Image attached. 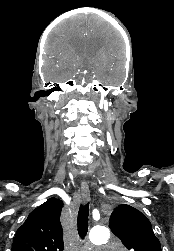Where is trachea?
<instances>
[{"label":"trachea","instance_id":"3493384b","mask_svg":"<svg viewBox=\"0 0 174 251\" xmlns=\"http://www.w3.org/2000/svg\"><path fill=\"white\" fill-rule=\"evenodd\" d=\"M88 216H89V203L80 205L78 212V233L79 236L84 239L88 231Z\"/></svg>","mask_w":174,"mask_h":251}]
</instances>
